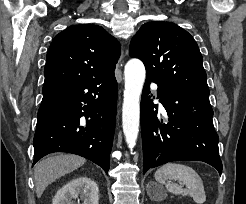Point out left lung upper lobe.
I'll return each mask as SVG.
<instances>
[{"instance_id": "1", "label": "left lung upper lobe", "mask_w": 246, "mask_h": 204, "mask_svg": "<svg viewBox=\"0 0 246 204\" xmlns=\"http://www.w3.org/2000/svg\"><path fill=\"white\" fill-rule=\"evenodd\" d=\"M129 54L144 63L147 79L208 88L197 43L174 23L143 24L131 40Z\"/></svg>"}]
</instances>
